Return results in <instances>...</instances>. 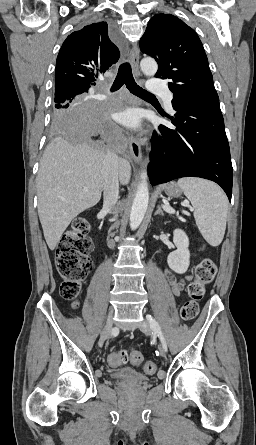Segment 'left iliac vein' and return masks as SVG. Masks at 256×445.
Instances as JSON below:
<instances>
[{
	"instance_id": "1",
	"label": "left iliac vein",
	"mask_w": 256,
	"mask_h": 445,
	"mask_svg": "<svg viewBox=\"0 0 256 445\" xmlns=\"http://www.w3.org/2000/svg\"><path fill=\"white\" fill-rule=\"evenodd\" d=\"M139 329L144 333V334H150L151 333V326L147 321H143L140 325H139ZM160 354L162 357L166 356V351L164 350L163 347H160Z\"/></svg>"
}]
</instances>
